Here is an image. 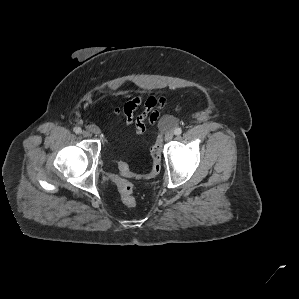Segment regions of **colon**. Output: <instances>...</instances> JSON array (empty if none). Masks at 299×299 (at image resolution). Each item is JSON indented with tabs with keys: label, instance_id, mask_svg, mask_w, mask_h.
<instances>
[{
	"label": "colon",
	"instance_id": "obj_1",
	"mask_svg": "<svg viewBox=\"0 0 299 299\" xmlns=\"http://www.w3.org/2000/svg\"><path fill=\"white\" fill-rule=\"evenodd\" d=\"M173 121L170 118H166L163 121L165 126H170ZM151 169L149 173L145 175H138L134 173L127 162L120 161L118 164V170L120 175H112L113 182L117 185L122 203L127 207H134L136 205V199L133 195V185L128 178H151L159 173L162 161V149L156 144L151 150Z\"/></svg>",
	"mask_w": 299,
	"mask_h": 299
}]
</instances>
